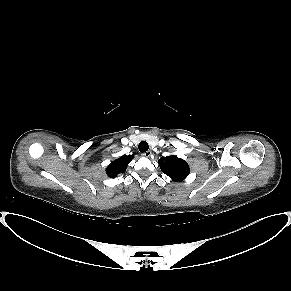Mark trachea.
I'll return each mask as SVG.
<instances>
[{
    "instance_id": "1",
    "label": "trachea",
    "mask_w": 291,
    "mask_h": 291,
    "mask_svg": "<svg viewBox=\"0 0 291 291\" xmlns=\"http://www.w3.org/2000/svg\"><path fill=\"white\" fill-rule=\"evenodd\" d=\"M138 148H139V151L143 153V152L148 151L149 146H148V143H147L146 141H141V142L139 143Z\"/></svg>"
}]
</instances>
